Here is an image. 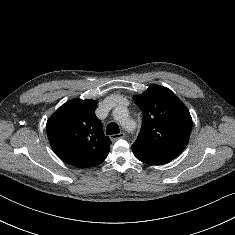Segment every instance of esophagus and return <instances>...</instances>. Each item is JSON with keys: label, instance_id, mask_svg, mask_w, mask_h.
I'll return each instance as SVG.
<instances>
[{"label": "esophagus", "instance_id": "1", "mask_svg": "<svg viewBox=\"0 0 235 235\" xmlns=\"http://www.w3.org/2000/svg\"><path fill=\"white\" fill-rule=\"evenodd\" d=\"M124 137H125V133H124V132H121V133H118V134H113V135H111L110 139H111L112 141H116V140H118V139H120V138H124Z\"/></svg>", "mask_w": 235, "mask_h": 235}]
</instances>
